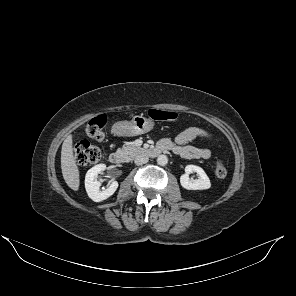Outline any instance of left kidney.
<instances>
[{
  "mask_svg": "<svg viewBox=\"0 0 296 296\" xmlns=\"http://www.w3.org/2000/svg\"><path fill=\"white\" fill-rule=\"evenodd\" d=\"M185 174L180 177L181 186L187 190H205L211 187V182L205 171L195 165H187L185 167ZM196 172L199 175L198 179L191 180L189 173Z\"/></svg>",
  "mask_w": 296,
  "mask_h": 296,
  "instance_id": "1",
  "label": "left kidney"
}]
</instances>
